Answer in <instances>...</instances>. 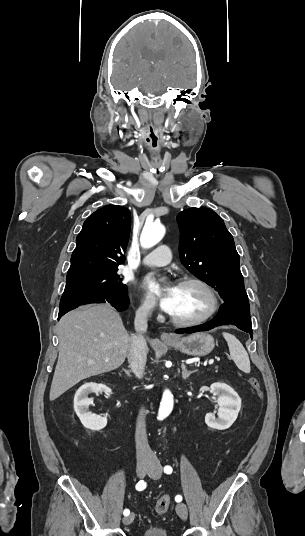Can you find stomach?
<instances>
[{
	"instance_id": "obj_1",
	"label": "stomach",
	"mask_w": 305,
	"mask_h": 536,
	"mask_svg": "<svg viewBox=\"0 0 305 536\" xmlns=\"http://www.w3.org/2000/svg\"><path fill=\"white\" fill-rule=\"evenodd\" d=\"M166 344L179 350L182 354H187V356H207L214 350L215 346L214 338L206 332H197V334H192L187 338H176V340H170Z\"/></svg>"
}]
</instances>
